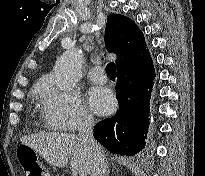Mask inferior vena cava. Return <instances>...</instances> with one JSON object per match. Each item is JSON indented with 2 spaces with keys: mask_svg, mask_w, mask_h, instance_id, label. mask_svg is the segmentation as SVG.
<instances>
[{
  "mask_svg": "<svg viewBox=\"0 0 205 176\" xmlns=\"http://www.w3.org/2000/svg\"><path fill=\"white\" fill-rule=\"evenodd\" d=\"M94 121L90 116H84L78 128L79 140L87 146L93 156L91 176H105L104 151L93 137Z\"/></svg>",
  "mask_w": 205,
  "mask_h": 176,
  "instance_id": "obj_1",
  "label": "inferior vena cava"
}]
</instances>
